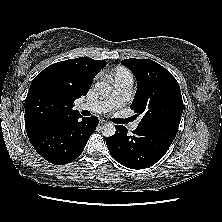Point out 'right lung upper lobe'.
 <instances>
[{
    "instance_id": "right-lung-upper-lobe-1",
    "label": "right lung upper lobe",
    "mask_w": 222,
    "mask_h": 222,
    "mask_svg": "<svg viewBox=\"0 0 222 222\" xmlns=\"http://www.w3.org/2000/svg\"><path fill=\"white\" fill-rule=\"evenodd\" d=\"M104 60L80 57L54 63L40 72L25 100L27 134L53 122L81 116L74 101L87 95L94 77L106 66Z\"/></svg>"
}]
</instances>
